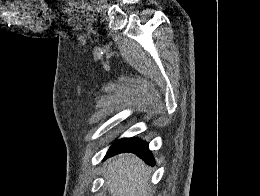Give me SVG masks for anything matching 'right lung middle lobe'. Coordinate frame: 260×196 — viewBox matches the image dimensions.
Wrapping results in <instances>:
<instances>
[{
    "label": "right lung middle lobe",
    "instance_id": "right-lung-middle-lobe-1",
    "mask_svg": "<svg viewBox=\"0 0 260 196\" xmlns=\"http://www.w3.org/2000/svg\"><path fill=\"white\" fill-rule=\"evenodd\" d=\"M128 139H129V138H124V139H120V140L116 141V142L112 145L111 148L122 145V144H123L124 142H126Z\"/></svg>",
    "mask_w": 260,
    "mask_h": 196
}]
</instances>
